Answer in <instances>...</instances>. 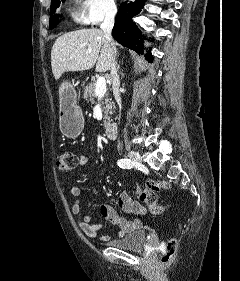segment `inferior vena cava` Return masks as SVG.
Returning a JSON list of instances; mask_svg holds the SVG:
<instances>
[{
	"mask_svg": "<svg viewBox=\"0 0 240 281\" xmlns=\"http://www.w3.org/2000/svg\"><path fill=\"white\" fill-rule=\"evenodd\" d=\"M117 13V8L116 6H110L107 11H106V15L104 18L103 23L101 24V29L105 35V38L107 39V41L109 42V44L111 45V50H110V58H111V66H110V73H111V79H112V89H113V95L115 97V100L117 101V103H120L121 98H120V80H119V75L117 72V63L115 60V55H116V49L114 47V42L112 39V29L114 26V19H115V15Z\"/></svg>",
	"mask_w": 240,
	"mask_h": 281,
	"instance_id": "602c4592",
	"label": "inferior vena cava"
}]
</instances>
